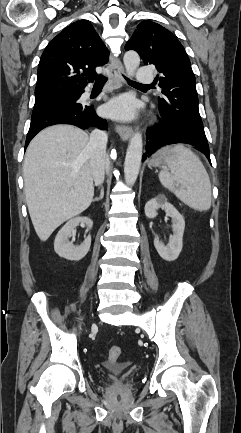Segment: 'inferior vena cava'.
I'll return each mask as SVG.
<instances>
[{
	"label": "inferior vena cava",
	"mask_w": 241,
	"mask_h": 433,
	"mask_svg": "<svg viewBox=\"0 0 241 433\" xmlns=\"http://www.w3.org/2000/svg\"><path fill=\"white\" fill-rule=\"evenodd\" d=\"M107 141V133L95 129L90 134V139L86 147L90 153V164L95 185H100L104 181Z\"/></svg>",
	"instance_id": "602c4592"
}]
</instances>
